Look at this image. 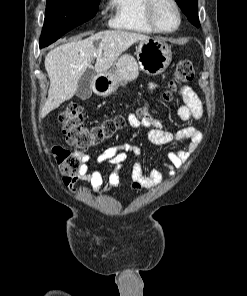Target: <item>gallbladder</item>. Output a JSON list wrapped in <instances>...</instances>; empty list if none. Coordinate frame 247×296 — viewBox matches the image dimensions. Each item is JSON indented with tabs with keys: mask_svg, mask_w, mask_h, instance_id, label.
<instances>
[{
	"mask_svg": "<svg viewBox=\"0 0 247 296\" xmlns=\"http://www.w3.org/2000/svg\"><path fill=\"white\" fill-rule=\"evenodd\" d=\"M93 70L87 69L78 82L76 96L82 100H87L92 95Z\"/></svg>",
	"mask_w": 247,
	"mask_h": 296,
	"instance_id": "1",
	"label": "gallbladder"
}]
</instances>
